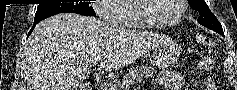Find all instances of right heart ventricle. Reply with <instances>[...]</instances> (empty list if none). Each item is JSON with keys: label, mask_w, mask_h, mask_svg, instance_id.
Returning <instances> with one entry per match:
<instances>
[{"label": "right heart ventricle", "mask_w": 237, "mask_h": 90, "mask_svg": "<svg viewBox=\"0 0 237 90\" xmlns=\"http://www.w3.org/2000/svg\"><path fill=\"white\" fill-rule=\"evenodd\" d=\"M127 4H113L112 13L115 16L134 15L132 3H137V0H128ZM112 28H145L139 19H122L114 23Z\"/></svg>", "instance_id": "right-heart-ventricle-1"}]
</instances>
